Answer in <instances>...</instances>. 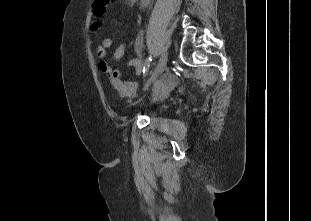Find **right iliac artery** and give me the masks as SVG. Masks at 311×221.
<instances>
[{
	"mask_svg": "<svg viewBox=\"0 0 311 221\" xmlns=\"http://www.w3.org/2000/svg\"><path fill=\"white\" fill-rule=\"evenodd\" d=\"M152 61V56H149L145 62H144V66H143V69H142V73H143V76L145 77L148 73V70H149V67H150V63Z\"/></svg>",
	"mask_w": 311,
	"mask_h": 221,
	"instance_id": "right-iliac-artery-1",
	"label": "right iliac artery"
}]
</instances>
